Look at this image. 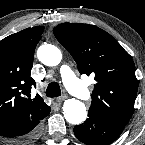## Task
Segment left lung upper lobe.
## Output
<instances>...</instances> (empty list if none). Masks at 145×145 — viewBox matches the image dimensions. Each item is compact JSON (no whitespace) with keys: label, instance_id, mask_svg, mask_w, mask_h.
Wrapping results in <instances>:
<instances>
[{"label":"left lung upper lobe","instance_id":"1","mask_svg":"<svg viewBox=\"0 0 145 145\" xmlns=\"http://www.w3.org/2000/svg\"><path fill=\"white\" fill-rule=\"evenodd\" d=\"M53 32L73 56L79 72L96 80L89 113L125 126L138 88L131 56L110 34L94 25L63 23Z\"/></svg>","mask_w":145,"mask_h":145}]
</instances>
